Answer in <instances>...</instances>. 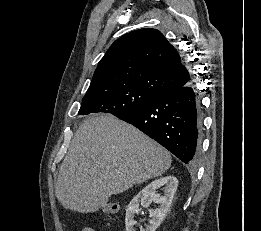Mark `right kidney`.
<instances>
[{
	"label": "right kidney",
	"mask_w": 261,
	"mask_h": 231,
	"mask_svg": "<svg viewBox=\"0 0 261 231\" xmlns=\"http://www.w3.org/2000/svg\"><path fill=\"white\" fill-rule=\"evenodd\" d=\"M162 186H164L163 196L156 193V189ZM177 186L178 180L176 177L165 176L154 180L145 188H143L132 199L127 207L125 217L126 231H136L134 228V225H136L134 217L136 214H139L141 210L139 208V204L147 208L152 201H155L157 204H159V207L155 210H149V216L151 218L149 220V224L146 226V228H141L140 231H155L169 211Z\"/></svg>",
	"instance_id": "1"
}]
</instances>
